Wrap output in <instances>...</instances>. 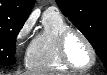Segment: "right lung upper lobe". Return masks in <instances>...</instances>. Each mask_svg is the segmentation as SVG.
Returning <instances> with one entry per match:
<instances>
[{
  "mask_svg": "<svg viewBox=\"0 0 107 75\" xmlns=\"http://www.w3.org/2000/svg\"><path fill=\"white\" fill-rule=\"evenodd\" d=\"M32 5L33 2L28 0H0V29L24 23Z\"/></svg>",
  "mask_w": 107,
  "mask_h": 75,
  "instance_id": "cb5924a9",
  "label": "right lung upper lobe"
}]
</instances>
